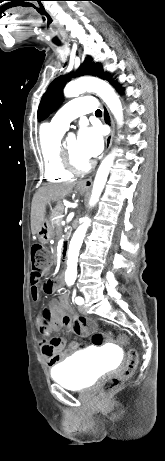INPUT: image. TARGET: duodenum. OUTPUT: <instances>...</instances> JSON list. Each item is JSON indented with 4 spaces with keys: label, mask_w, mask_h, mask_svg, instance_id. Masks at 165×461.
Listing matches in <instances>:
<instances>
[{
    "label": "duodenum",
    "mask_w": 165,
    "mask_h": 461,
    "mask_svg": "<svg viewBox=\"0 0 165 461\" xmlns=\"http://www.w3.org/2000/svg\"><path fill=\"white\" fill-rule=\"evenodd\" d=\"M66 242H67V239L64 241V243H66ZM60 281H61V280H60Z\"/></svg>",
    "instance_id": "1"
}]
</instances>
